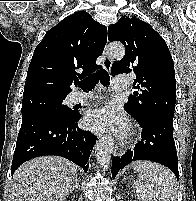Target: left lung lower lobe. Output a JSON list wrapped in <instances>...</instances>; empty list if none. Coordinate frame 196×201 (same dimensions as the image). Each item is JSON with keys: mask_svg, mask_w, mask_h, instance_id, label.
<instances>
[{"mask_svg": "<svg viewBox=\"0 0 196 201\" xmlns=\"http://www.w3.org/2000/svg\"><path fill=\"white\" fill-rule=\"evenodd\" d=\"M142 127V138L134 149L112 160V177L119 169L136 160H150L170 168L179 177L178 157L173 139V117L151 115L138 121Z\"/></svg>", "mask_w": 196, "mask_h": 201, "instance_id": "0a47b994", "label": "left lung lower lobe"}]
</instances>
